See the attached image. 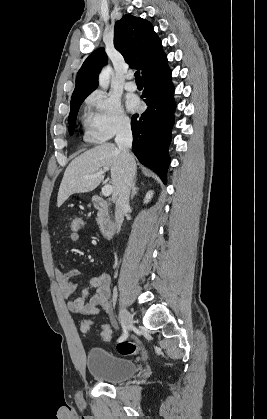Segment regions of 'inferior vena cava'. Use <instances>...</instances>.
Masks as SVG:
<instances>
[{
    "instance_id": "602c4592",
    "label": "inferior vena cava",
    "mask_w": 267,
    "mask_h": 419,
    "mask_svg": "<svg viewBox=\"0 0 267 419\" xmlns=\"http://www.w3.org/2000/svg\"><path fill=\"white\" fill-rule=\"evenodd\" d=\"M132 131L129 121H122L118 127L115 143L121 151L123 173L119 183L118 195L115 203V220L117 233L121 229L124 214L129 208V196L136 171V163L129 149L132 147Z\"/></svg>"
}]
</instances>
